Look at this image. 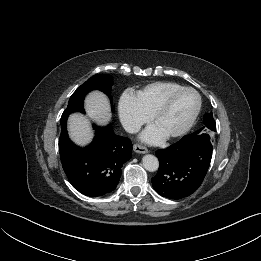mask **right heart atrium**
<instances>
[{
  "label": "right heart atrium",
  "instance_id": "obj_1",
  "mask_svg": "<svg viewBox=\"0 0 261 261\" xmlns=\"http://www.w3.org/2000/svg\"><path fill=\"white\" fill-rule=\"evenodd\" d=\"M118 115L123 127L131 133L138 131L149 120V116L141 110L135 96L131 93H125L121 96Z\"/></svg>",
  "mask_w": 261,
  "mask_h": 261
}]
</instances>
